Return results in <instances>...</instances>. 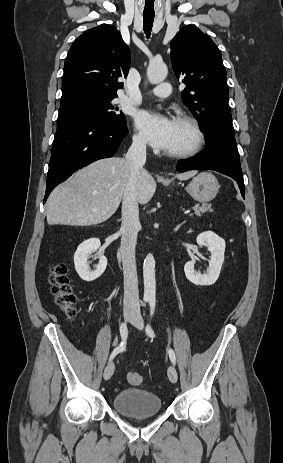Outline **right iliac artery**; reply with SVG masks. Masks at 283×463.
I'll return each mask as SVG.
<instances>
[{"mask_svg": "<svg viewBox=\"0 0 283 463\" xmlns=\"http://www.w3.org/2000/svg\"><path fill=\"white\" fill-rule=\"evenodd\" d=\"M146 302V300H145ZM120 335H121V338H122V342L121 344L116 347L113 352L111 353L110 355V358L109 360L111 361L118 353L124 351L125 347H126V340H127V336H128V329H127V325L126 323H122L121 326H120Z\"/></svg>", "mask_w": 283, "mask_h": 463, "instance_id": "obj_1", "label": "right iliac artery"}]
</instances>
